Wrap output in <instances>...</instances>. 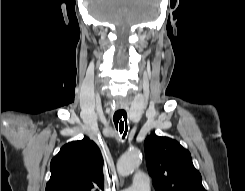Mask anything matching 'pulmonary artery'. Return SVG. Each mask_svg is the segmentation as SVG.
Wrapping results in <instances>:
<instances>
[{"mask_svg":"<svg viewBox=\"0 0 245 191\" xmlns=\"http://www.w3.org/2000/svg\"><path fill=\"white\" fill-rule=\"evenodd\" d=\"M122 191H150V180L148 175L143 172L135 173L132 184Z\"/></svg>","mask_w":245,"mask_h":191,"instance_id":"obj_1","label":"pulmonary artery"}]
</instances>
